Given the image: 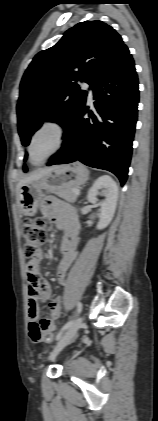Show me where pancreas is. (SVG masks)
<instances>
[{
    "instance_id": "1",
    "label": "pancreas",
    "mask_w": 158,
    "mask_h": 421,
    "mask_svg": "<svg viewBox=\"0 0 158 421\" xmlns=\"http://www.w3.org/2000/svg\"><path fill=\"white\" fill-rule=\"evenodd\" d=\"M74 190L75 188H66V189H62L56 192V195H58L60 198H63L64 200H66L67 202H75L77 199L78 195L74 194Z\"/></svg>"
}]
</instances>
